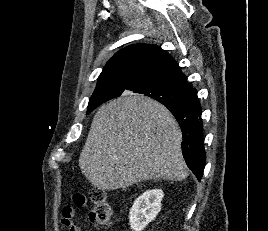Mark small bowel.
<instances>
[{"label": "small bowel", "instance_id": "small-bowel-1", "mask_svg": "<svg viewBox=\"0 0 268 231\" xmlns=\"http://www.w3.org/2000/svg\"><path fill=\"white\" fill-rule=\"evenodd\" d=\"M81 206V202L76 203ZM61 223L69 228V231H83V229L75 221V210L72 207L66 206L62 209Z\"/></svg>", "mask_w": 268, "mask_h": 231}]
</instances>
